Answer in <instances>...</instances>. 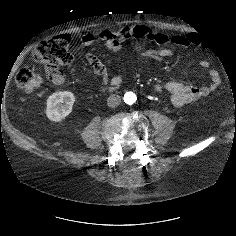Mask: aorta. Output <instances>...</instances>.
Masks as SVG:
<instances>
[{"mask_svg": "<svg viewBox=\"0 0 236 236\" xmlns=\"http://www.w3.org/2000/svg\"><path fill=\"white\" fill-rule=\"evenodd\" d=\"M137 96L133 92H126L124 94V102L128 105H132L136 102Z\"/></svg>", "mask_w": 236, "mask_h": 236, "instance_id": "obj_1", "label": "aorta"}]
</instances>
